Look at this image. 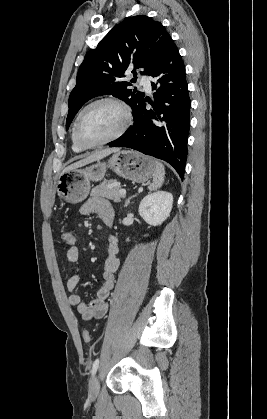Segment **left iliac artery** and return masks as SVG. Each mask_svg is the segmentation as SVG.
Returning <instances> with one entry per match:
<instances>
[{"label": "left iliac artery", "instance_id": "44dca946", "mask_svg": "<svg viewBox=\"0 0 267 419\" xmlns=\"http://www.w3.org/2000/svg\"><path fill=\"white\" fill-rule=\"evenodd\" d=\"M98 366H99V359L97 358L92 365V370H91L92 376L96 373Z\"/></svg>", "mask_w": 267, "mask_h": 419}]
</instances>
